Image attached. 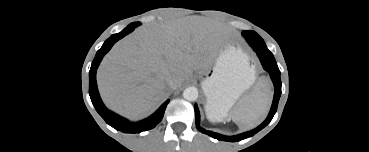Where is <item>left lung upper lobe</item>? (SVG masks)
Instances as JSON below:
<instances>
[{
	"label": "left lung upper lobe",
	"instance_id": "left-lung-upper-lobe-1",
	"mask_svg": "<svg viewBox=\"0 0 369 152\" xmlns=\"http://www.w3.org/2000/svg\"><path fill=\"white\" fill-rule=\"evenodd\" d=\"M242 34L246 38L247 42L250 40L263 41V39L254 31H243Z\"/></svg>",
	"mask_w": 369,
	"mask_h": 152
}]
</instances>
